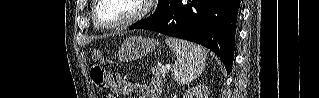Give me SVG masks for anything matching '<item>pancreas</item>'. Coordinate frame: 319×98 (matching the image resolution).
Returning a JSON list of instances; mask_svg holds the SVG:
<instances>
[{
    "label": "pancreas",
    "mask_w": 319,
    "mask_h": 98,
    "mask_svg": "<svg viewBox=\"0 0 319 98\" xmlns=\"http://www.w3.org/2000/svg\"><path fill=\"white\" fill-rule=\"evenodd\" d=\"M151 71L157 79L165 80L167 77V70H163L162 67L154 66L151 68Z\"/></svg>",
    "instance_id": "pancreas-1"
}]
</instances>
